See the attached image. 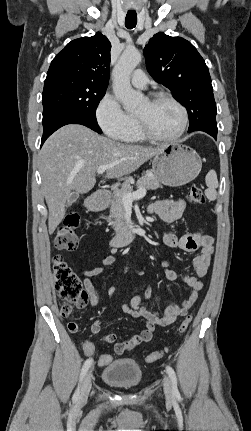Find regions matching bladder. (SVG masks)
Listing matches in <instances>:
<instances>
[{"mask_svg": "<svg viewBox=\"0 0 251 431\" xmlns=\"http://www.w3.org/2000/svg\"><path fill=\"white\" fill-rule=\"evenodd\" d=\"M142 369L132 359H118L107 365L102 372V380L116 388L134 389L142 380Z\"/></svg>", "mask_w": 251, "mask_h": 431, "instance_id": "1", "label": "bladder"}]
</instances>
